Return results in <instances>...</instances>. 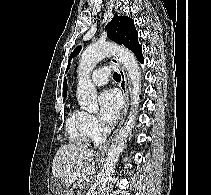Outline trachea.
<instances>
[{
    "label": "trachea",
    "instance_id": "3493384b",
    "mask_svg": "<svg viewBox=\"0 0 211 195\" xmlns=\"http://www.w3.org/2000/svg\"><path fill=\"white\" fill-rule=\"evenodd\" d=\"M113 78H114L116 81H120V79H121L120 75H119L118 73H116V72L113 74Z\"/></svg>",
    "mask_w": 211,
    "mask_h": 195
}]
</instances>
